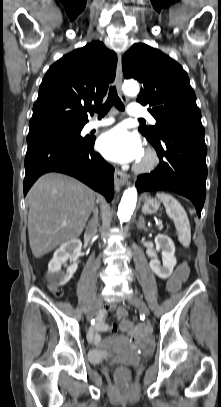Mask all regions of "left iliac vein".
I'll list each match as a JSON object with an SVG mask.
<instances>
[{"label":"left iliac vein","mask_w":221,"mask_h":407,"mask_svg":"<svg viewBox=\"0 0 221 407\" xmlns=\"http://www.w3.org/2000/svg\"><path fill=\"white\" fill-rule=\"evenodd\" d=\"M128 302L131 305L135 306L137 309H139L146 316L150 315V312H149V309H148L146 303L144 301H142L140 298H138L137 296H131L128 299Z\"/></svg>","instance_id":"left-iliac-vein-1"}]
</instances>
